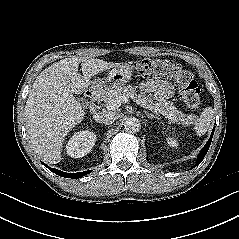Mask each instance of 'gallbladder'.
Returning a JSON list of instances; mask_svg holds the SVG:
<instances>
[{"mask_svg":"<svg viewBox=\"0 0 239 239\" xmlns=\"http://www.w3.org/2000/svg\"><path fill=\"white\" fill-rule=\"evenodd\" d=\"M77 99H78V101H82L83 98H78V97H77Z\"/></svg>","mask_w":239,"mask_h":239,"instance_id":"bac80fb5","label":"gallbladder"}]
</instances>
